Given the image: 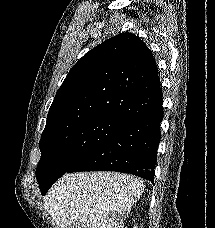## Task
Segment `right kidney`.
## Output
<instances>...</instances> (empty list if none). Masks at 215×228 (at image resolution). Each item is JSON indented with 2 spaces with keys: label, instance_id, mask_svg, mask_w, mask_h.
Instances as JSON below:
<instances>
[{
  "label": "right kidney",
  "instance_id": "1",
  "mask_svg": "<svg viewBox=\"0 0 215 228\" xmlns=\"http://www.w3.org/2000/svg\"><path fill=\"white\" fill-rule=\"evenodd\" d=\"M134 228H138L137 224H135Z\"/></svg>",
  "mask_w": 215,
  "mask_h": 228
}]
</instances>
